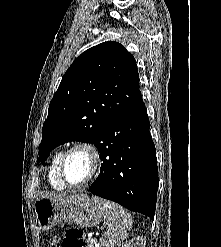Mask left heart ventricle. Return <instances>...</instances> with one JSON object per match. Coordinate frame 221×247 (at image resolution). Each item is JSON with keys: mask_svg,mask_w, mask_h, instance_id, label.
Listing matches in <instances>:
<instances>
[{"mask_svg": "<svg viewBox=\"0 0 221 247\" xmlns=\"http://www.w3.org/2000/svg\"><path fill=\"white\" fill-rule=\"evenodd\" d=\"M91 171V159L88 153L76 151L72 153L66 163L65 174L69 182L76 184L86 179Z\"/></svg>", "mask_w": 221, "mask_h": 247, "instance_id": "obj_1", "label": "left heart ventricle"}]
</instances>
